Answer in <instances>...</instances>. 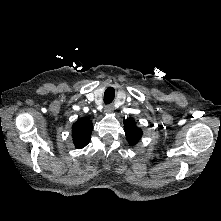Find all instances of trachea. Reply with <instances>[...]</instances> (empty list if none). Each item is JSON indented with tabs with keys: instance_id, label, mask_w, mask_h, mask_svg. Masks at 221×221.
<instances>
[{
	"instance_id": "1",
	"label": "trachea",
	"mask_w": 221,
	"mask_h": 221,
	"mask_svg": "<svg viewBox=\"0 0 221 221\" xmlns=\"http://www.w3.org/2000/svg\"><path fill=\"white\" fill-rule=\"evenodd\" d=\"M115 97V90L113 87H109L104 92V103L110 104Z\"/></svg>"
}]
</instances>
